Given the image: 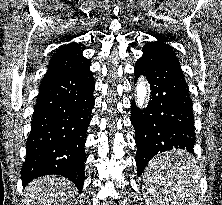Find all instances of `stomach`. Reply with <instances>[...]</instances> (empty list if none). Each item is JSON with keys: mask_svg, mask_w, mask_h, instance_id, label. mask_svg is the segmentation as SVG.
<instances>
[{"mask_svg": "<svg viewBox=\"0 0 222 205\" xmlns=\"http://www.w3.org/2000/svg\"><path fill=\"white\" fill-rule=\"evenodd\" d=\"M169 154H171V155H177V154H183V152H180V151H172V152H169Z\"/></svg>", "mask_w": 222, "mask_h": 205, "instance_id": "obj_1", "label": "stomach"}]
</instances>
